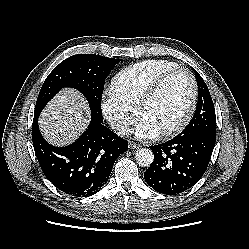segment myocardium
<instances>
[{
    "label": "myocardium",
    "instance_id": "f54148a6",
    "mask_svg": "<svg viewBox=\"0 0 249 249\" xmlns=\"http://www.w3.org/2000/svg\"><path fill=\"white\" fill-rule=\"evenodd\" d=\"M180 71L185 72L188 75V78L190 81L191 93H190L189 104L183 116L175 124L160 131V134L162 136H171L183 130L187 126V124L189 123V121L191 120L195 112L196 104H197V97H198V88H197V82H196L195 76L192 73V71L189 68L184 67V66H176L174 68H171L163 72L153 81V83L146 90V92L142 96L137 107L138 114L142 117L145 109L152 102L155 96L158 94L164 82L171 75L177 72H180Z\"/></svg>",
    "mask_w": 249,
    "mask_h": 249
}]
</instances>
